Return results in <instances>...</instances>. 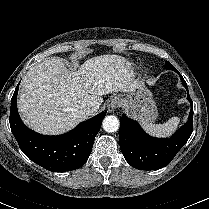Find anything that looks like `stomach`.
Wrapping results in <instances>:
<instances>
[{
  "mask_svg": "<svg viewBox=\"0 0 209 209\" xmlns=\"http://www.w3.org/2000/svg\"><path fill=\"white\" fill-rule=\"evenodd\" d=\"M123 105L132 117L143 122L151 123L158 116L152 93L143 84H139L133 91L126 94Z\"/></svg>",
  "mask_w": 209,
  "mask_h": 209,
  "instance_id": "0dacf381",
  "label": "stomach"
}]
</instances>
